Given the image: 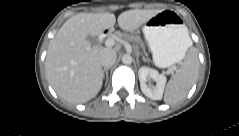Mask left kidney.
Segmentation results:
<instances>
[{"mask_svg": "<svg viewBox=\"0 0 239 136\" xmlns=\"http://www.w3.org/2000/svg\"><path fill=\"white\" fill-rule=\"evenodd\" d=\"M138 75L143 94L153 100H161L167 80L166 76L149 67H141ZM148 78L153 79L156 82V86L147 85Z\"/></svg>", "mask_w": 239, "mask_h": 136, "instance_id": "1", "label": "left kidney"}]
</instances>
